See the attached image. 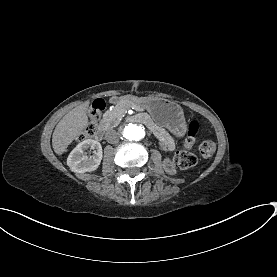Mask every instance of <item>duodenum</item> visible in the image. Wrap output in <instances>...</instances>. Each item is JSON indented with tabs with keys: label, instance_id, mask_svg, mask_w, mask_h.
Here are the masks:
<instances>
[{
	"label": "duodenum",
	"instance_id": "1",
	"mask_svg": "<svg viewBox=\"0 0 277 277\" xmlns=\"http://www.w3.org/2000/svg\"><path fill=\"white\" fill-rule=\"evenodd\" d=\"M124 99L125 98L123 96H116L112 100L114 102H117ZM127 121L133 124L145 125L154 134L158 133L160 130V127L151 119V117L144 113L132 115L127 119ZM105 133H106V127L104 125H100L96 133V139L101 140L104 137Z\"/></svg>",
	"mask_w": 277,
	"mask_h": 277
}]
</instances>
